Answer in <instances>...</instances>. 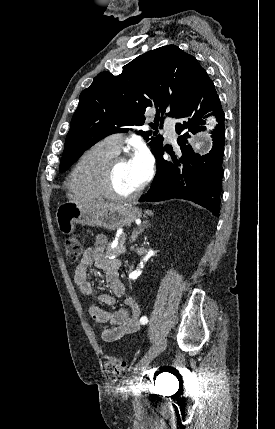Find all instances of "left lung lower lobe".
<instances>
[{"mask_svg": "<svg viewBox=\"0 0 275 429\" xmlns=\"http://www.w3.org/2000/svg\"><path fill=\"white\" fill-rule=\"evenodd\" d=\"M203 98V100H202ZM213 111L218 125L212 132L213 147L210 153L199 155L186 145L189 132L195 134L204 129L206 114ZM179 122L176 132L181 152L175 154L162 148L156 155L157 173L149 191L140 202H158L178 198L192 201L219 216L224 154V113L214 84L203 69L194 93L187 105L176 116ZM164 150L171 155L163 158Z\"/></svg>", "mask_w": 275, "mask_h": 429, "instance_id": "1", "label": "left lung lower lobe"}]
</instances>
